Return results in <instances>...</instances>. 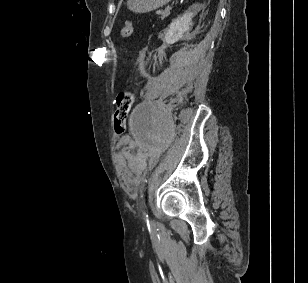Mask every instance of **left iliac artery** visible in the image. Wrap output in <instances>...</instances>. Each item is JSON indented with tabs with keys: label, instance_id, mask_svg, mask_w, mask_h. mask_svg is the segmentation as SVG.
Returning <instances> with one entry per match:
<instances>
[{
	"label": "left iliac artery",
	"instance_id": "left-iliac-artery-1",
	"mask_svg": "<svg viewBox=\"0 0 308 283\" xmlns=\"http://www.w3.org/2000/svg\"><path fill=\"white\" fill-rule=\"evenodd\" d=\"M143 214H144V216H145V218H146V220L148 222V214H147V212L145 210H144Z\"/></svg>",
	"mask_w": 308,
	"mask_h": 283
}]
</instances>
